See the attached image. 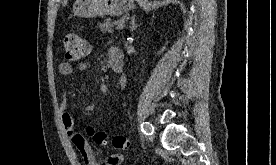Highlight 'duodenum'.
<instances>
[{"label": "duodenum", "mask_w": 276, "mask_h": 165, "mask_svg": "<svg viewBox=\"0 0 276 165\" xmlns=\"http://www.w3.org/2000/svg\"><path fill=\"white\" fill-rule=\"evenodd\" d=\"M109 66L114 73H119L123 69V60L118 56H111L109 58Z\"/></svg>", "instance_id": "1"}]
</instances>
